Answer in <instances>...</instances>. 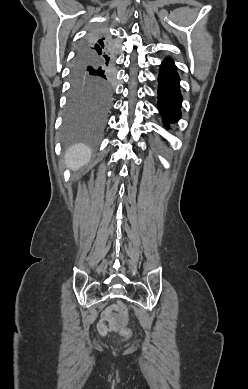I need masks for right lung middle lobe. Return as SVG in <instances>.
<instances>
[{
    "label": "right lung middle lobe",
    "mask_w": 248,
    "mask_h": 389,
    "mask_svg": "<svg viewBox=\"0 0 248 389\" xmlns=\"http://www.w3.org/2000/svg\"><path fill=\"white\" fill-rule=\"evenodd\" d=\"M113 67L85 55L82 49L72 65V89L65 116L66 143L95 146L113 96Z\"/></svg>",
    "instance_id": "right-lung-middle-lobe-1"
}]
</instances>
